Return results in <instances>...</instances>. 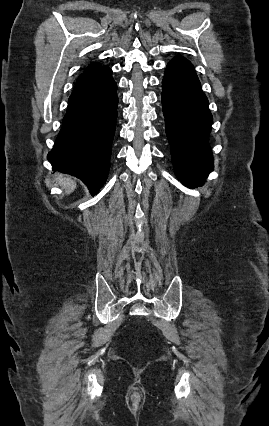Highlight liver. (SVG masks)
<instances>
[{
    "label": "liver",
    "instance_id": "obj_1",
    "mask_svg": "<svg viewBox=\"0 0 269 426\" xmlns=\"http://www.w3.org/2000/svg\"><path fill=\"white\" fill-rule=\"evenodd\" d=\"M56 181L59 186L63 187L66 190L67 194L73 192L76 188V183L70 177H66L61 174H57Z\"/></svg>",
    "mask_w": 269,
    "mask_h": 426
}]
</instances>
